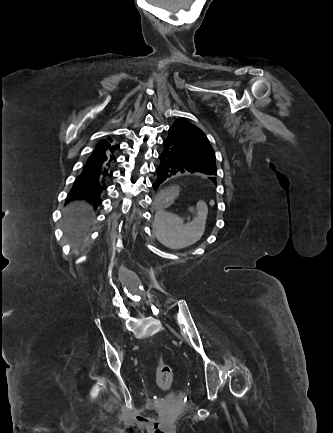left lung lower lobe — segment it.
<instances>
[{"label":"left lung lower lobe","instance_id":"0a47b994","mask_svg":"<svg viewBox=\"0 0 333 433\" xmlns=\"http://www.w3.org/2000/svg\"><path fill=\"white\" fill-rule=\"evenodd\" d=\"M160 164L156 169L157 180L153 183L154 190L160 189L164 182L176 174L183 173H204L216 175L217 169L194 157L187 151L169 140L163 141L161 154L159 155ZM215 182L214 178H210Z\"/></svg>","mask_w":333,"mask_h":433}]
</instances>
